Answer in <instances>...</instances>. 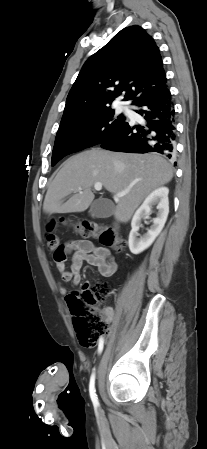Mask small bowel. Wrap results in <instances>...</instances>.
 <instances>
[{"label": "small bowel", "mask_w": 207, "mask_h": 449, "mask_svg": "<svg viewBox=\"0 0 207 449\" xmlns=\"http://www.w3.org/2000/svg\"><path fill=\"white\" fill-rule=\"evenodd\" d=\"M67 254L73 253L71 258L70 269H66L64 262L57 263L62 282H72L79 285L82 276L81 269L84 262L98 269L99 273L104 277L112 276L117 270V262L111 251L106 247L95 246L90 240L75 239L65 245ZM59 292L65 296L67 289L59 284ZM107 319L112 317L111 311L106 313Z\"/></svg>", "instance_id": "obj_1"}]
</instances>
